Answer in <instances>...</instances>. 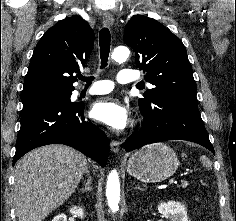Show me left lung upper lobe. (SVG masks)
<instances>
[{"label": "left lung upper lobe", "mask_w": 236, "mask_h": 221, "mask_svg": "<svg viewBox=\"0 0 236 221\" xmlns=\"http://www.w3.org/2000/svg\"><path fill=\"white\" fill-rule=\"evenodd\" d=\"M124 42L135 51L136 65L154 88L139 99L148 108L166 96L196 98V82L182 41L157 20L135 15L127 23Z\"/></svg>", "instance_id": "5c2ea615"}]
</instances>
